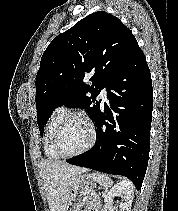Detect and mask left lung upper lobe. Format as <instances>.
Returning a JSON list of instances; mask_svg holds the SVG:
<instances>
[{
	"instance_id": "1",
	"label": "left lung upper lobe",
	"mask_w": 178,
	"mask_h": 211,
	"mask_svg": "<svg viewBox=\"0 0 178 211\" xmlns=\"http://www.w3.org/2000/svg\"><path fill=\"white\" fill-rule=\"evenodd\" d=\"M137 45L131 30L105 11L88 15L55 37L43 53L36 76L40 134L53 110L62 105L85 109L95 121L101 111V100L95 97ZM88 79L92 85L84 83Z\"/></svg>"
}]
</instances>
